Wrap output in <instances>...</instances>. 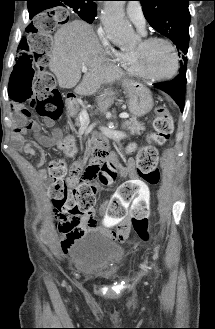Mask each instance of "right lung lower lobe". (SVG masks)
Returning a JSON list of instances; mask_svg holds the SVG:
<instances>
[{
    "mask_svg": "<svg viewBox=\"0 0 215 329\" xmlns=\"http://www.w3.org/2000/svg\"><path fill=\"white\" fill-rule=\"evenodd\" d=\"M28 10H29L30 18H33L36 14L41 12L43 8L42 5L40 4V1L28 0Z\"/></svg>",
    "mask_w": 215,
    "mask_h": 329,
    "instance_id": "obj_1",
    "label": "right lung lower lobe"
}]
</instances>
